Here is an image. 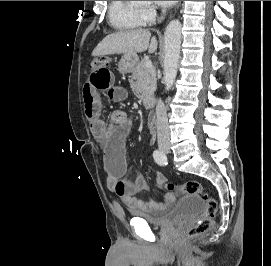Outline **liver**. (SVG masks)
<instances>
[{"mask_svg": "<svg viewBox=\"0 0 271 266\" xmlns=\"http://www.w3.org/2000/svg\"><path fill=\"white\" fill-rule=\"evenodd\" d=\"M155 36L146 29L121 31L106 36L93 50L92 56L111 54H136L148 50L150 54L157 50Z\"/></svg>", "mask_w": 271, "mask_h": 266, "instance_id": "obj_1", "label": "liver"}]
</instances>
